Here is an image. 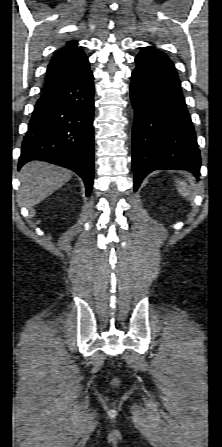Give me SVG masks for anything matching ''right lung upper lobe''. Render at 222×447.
Wrapping results in <instances>:
<instances>
[{
	"label": "right lung upper lobe",
	"instance_id": "cb5924a9",
	"mask_svg": "<svg viewBox=\"0 0 222 447\" xmlns=\"http://www.w3.org/2000/svg\"><path fill=\"white\" fill-rule=\"evenodd\" d=\"M86 58L82 47H78L77 41L67 42L64 47L54 53L48 65L44 90L70 76Z\"/></svg>",
	"mask_w": 222,
	"mask_h": 447
}]
</instances>
